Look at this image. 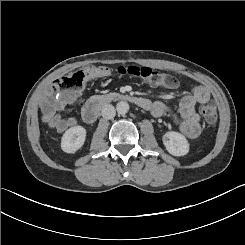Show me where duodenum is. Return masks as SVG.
Instances as JSON below:
<instances>
[{"instance_id":"1","label":"duodenum","mask_w":245,"mask_h":245,"mask_svg":"<svg viewBox=\"0 0 245 245\" xmlns=\"http://www.w3.org/2000/svg\"><path fill=\"white\" fill-rule=\"evenodd\" d=\"M114 101H129L145 110H150L152 102L146 98L128 94H105L98 95L90 99L82 109V118L86 123H93L99 117L101 110Z\"/></svg>"}]
</instances>
